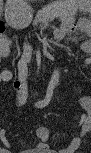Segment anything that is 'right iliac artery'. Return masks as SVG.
I'll use <instances>...</instances> for the list:
<instances>
[{
    "label": "right iliac artery",
    "instance_id": "right-iliac-artery-1",
    "mask_svg": "<svg viewBox=\"0 0 91 153\" xmlns=\"http://www.w3.org/2000/svg\"><path fill=\"white\" fill-rule=\"evenodd\" d=\"M52 94H53V86H49L47 89V93H46L45 98L36 102L35 107L43 108V107L47 106L52 99Z\"/></svg>",
    "mask_w": 91,
    "mask_h": 153
}]
</instances>
